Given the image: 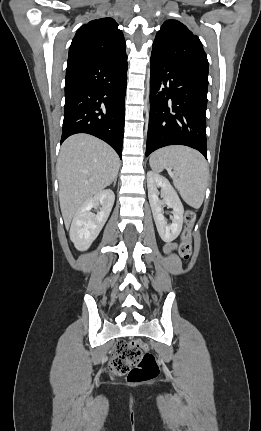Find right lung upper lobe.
<instances>
[{"label": "right lung upper lobe", "mask_w": 261, "mask_h": 431, "mask_svg": "<svg viewBox=\"0 0 261 431\" xmlns=\"http://www.w3.org/2000/svg\"><path fill=\"white\" fill-rule=\"evenodd\" d=\"M125 39L112 18L92 20L81 26L69 48L68 63L84 59H114L126 55Z\"/></svg>", "instance_id": "cb5924a9"}]
</instances>
